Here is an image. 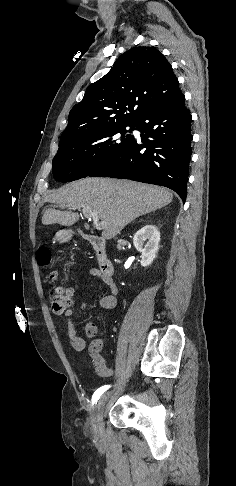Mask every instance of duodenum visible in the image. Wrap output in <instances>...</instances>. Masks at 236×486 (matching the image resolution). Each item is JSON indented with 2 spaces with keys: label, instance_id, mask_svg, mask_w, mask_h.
I'll return each mask as SVG.
<instances>
[{
  "label": "duodenum",
  "instance_id": "duodenum-1",
  "mask_svg": "<svg viewBox=\"0 0 236 486\" xmlns=\"http://www.w3.org/2000/svg\"><path fill=\"white\" fill-rule=\"evenodd\" d=\"M82 236L91 245L102 275L105 277H111L114 272V266L112 261L107 256L105 241L102 238L94 235L82 234Z\"/></svg>",
  "mask_w": 236,
  "mask_h": 486
}]
</instances>
